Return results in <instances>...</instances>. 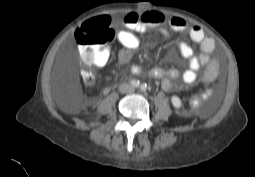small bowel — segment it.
<instances>
[{"label":"small bowel","mask_w":255,"mask_h":177,"mask_svg":"<svg viewBox=\"0 0 255 177\" xmlns=\"http://www.w3.org/2000/svg\"><path fill=\"white\" fill-rule=\"evenodd\" d=\"M125 28L118 30L117 37L122 45V49L118 52V61L121 64H127L133 53L139 48L140 40L138 34L146 33L150 30H159L161 33H165L163 25L167 22L165 16L155 10H144L140 13L129 12L125 14L123 18ZM170 28L175 32H183L187 29V22L181 17H172L168 20ZM81 27L76 32H80ZM190 38L199 44L201 53L195 55L191 46L185 42H179L177 50L172 49L170 56L175 57L178 54L187 61L188 68L184 72H180L178 69H165V68H152L148 71L150 77L161 80V86L166 91L174 89L183 90L187 86L192 85L198 79V71L202 66L207 65V69L211 70V73L205 79L212 80L218 73L219 62L216 59H211V53L215 49V42L213 38L207 36L204 30L200 26H192L189 29ZM110 57L109 48H102L96 52L97 66L102 67L107 64ZM134 74H141L142 68L134 65L131 68ZM181 78V84H175L174 80Z\"/></svg>","instance_id":"obj_1"}]
</instances>
